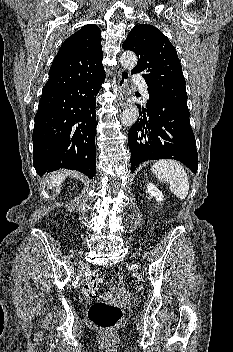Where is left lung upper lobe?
Wrapping results in <instances>:
<instances>
[{"label":"left lung upper lobe","mask_w":233,"mask_h":352,"mask_svg":"<svg viewBox=\"0 0 233 352\" xmlns=\"http://www.w3.org/2000/svg\"><path fill=\"white\" fill-rule=\"evenodd\" d=\"M122 48L138 57L131 71L142 73L149 91L187 106L186 82L177 51L156 27L139 24L128 34Z\"/></svg>","instance_id":"left-lung-upper-lobe-1"}]
</instances>
